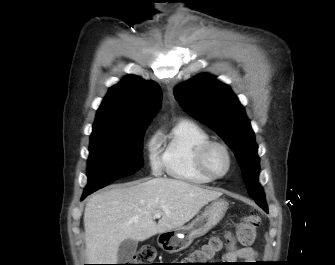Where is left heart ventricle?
<instances>
[{
	"mask_svg": "<svg viewBox=\"0 0 335 265\" xmlns=\"http://www.w3.org/2000/svg\"><path fill=\"white\" fill-rule=\"evenodd\" d=\"M209 168L216 174H222L227 168V157L220 148H213L207 157Z\"/></svg>",
	"mask_w": 335,
	"mask_h": 265,
	"instance_id": "1",
	"label": "left heart ventricle"
}]
</instances>
